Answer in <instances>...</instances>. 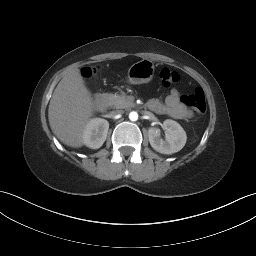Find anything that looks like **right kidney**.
Returning a JSON list of instances; mask_svg holds the SVG:
<instances>
[{
	"label": "right kidney",
	"instance_id": "ca27d5eb",
	"mask_svg": "<svg viewBox=\"0 0 256 256\" xmlns=\"http://www.w3.org/2000/svg\"><path fill=\"white\" fill-rule=\"evenodd\" d=\"M109 123L102 118L91 119L84 130L83 142L92 149L100 148L106 140Z\"/></svg>",
	"mask_w": 256,
	"mask_h": 256
}]
</instances>
